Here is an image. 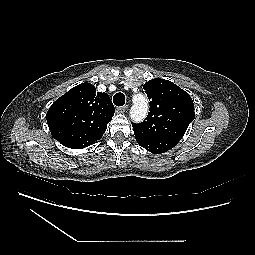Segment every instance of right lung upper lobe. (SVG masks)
I'll use <instances>...</instances> for the list:
<instances>
[{"label": "right lung upper lobe", "instance_id": "obj_1", "mask_svg": "<svg viewBox=\"0 0 255 255\" xmlns=\"http://www.w3.org/2000/svg\"><path fill=\"white\" fill-rule=\"evenodd\" d=\"M115 109L108 94L82 83L58 98L46 118L52 136L62 145L82 149L104 134Z\"/></svg>", "mask_w": 255, "mask_h": 255}]
</instances>
